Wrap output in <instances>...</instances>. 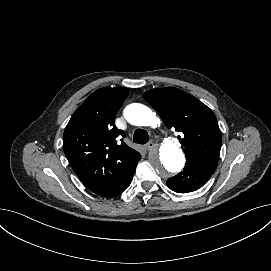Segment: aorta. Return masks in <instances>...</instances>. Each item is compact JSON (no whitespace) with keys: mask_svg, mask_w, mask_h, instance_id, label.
<instances>
[{"mask_svg":"<svg viewBox=\"0 0 271 271\" xmlns=\"http://www.w3.org/2000/svg\"><path fill=\"white\" fill-rule=\"evenodd\" d=\"M125 119L132 125L157 127L160 119L156 113L143 104L134 103L124 110ZM155 171L169 177L181 171L185 164L183 151L173 142L165 141L159 148L154 149L149 156Z\"/></svg>","mask_w":271,"mask_h":271,"instance_id":"obj_1","label":"aorta"}]
</instances>
